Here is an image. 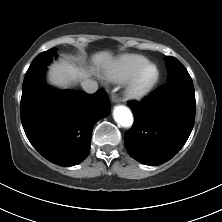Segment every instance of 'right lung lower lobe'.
<instances>
[{
  "label": "right lung lower lobe",
  "mask_w": 222,
  "mask_h": 222,
  "mask_svg": "<svg viewBox=\"0 0 222 222\" xmlns=\"http://www.w3.org/2000/svg\"><path fill=\"white\" fill-rule=\"evenodd\" d=\"M109 112L104 90L89 95L40 85L23 92L20 104L28 140L44 158L59 166H73L87 157L93 126Z\"/></svg>",
  "instance_id": "98d812e1"
}]
</instances>
